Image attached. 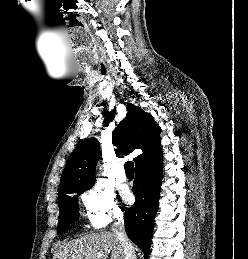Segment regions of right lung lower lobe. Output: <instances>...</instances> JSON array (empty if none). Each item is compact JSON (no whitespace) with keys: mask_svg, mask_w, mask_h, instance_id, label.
<instances>
[{"mask_svg":"<svg viewBox=\"0 0 248 259\" xmlns=\"http://www.w3.org/2000/svg\"><path fill=\"white\" fill-rule=\"evenodd\" d=\"M162 166L161 153L136 164L133 184L136 201L124 213L126 233L144 252L145 259L149 256L154 216L158 208Z\"/></svg>","mask_w":248,"mask_h":259,"instance_id":"right-lung-lower-lobe-1","label":"right lung lower lobe"}]
</instances>
